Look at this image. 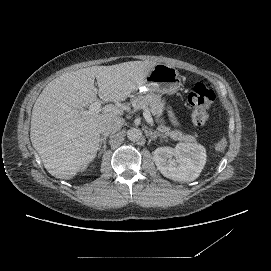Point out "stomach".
<instances>
[{
  "label": "stomach",
  "mask_w": 271,
  "mask_h": 271,
  "mask_svg": "<svg viewBox=\"0 0 271 271\" xmlns=\"http://www.w3.org/2000/svg\"><path fill=\"white\" fill-rule=\"evenodd\" d=\"M181 77L178 70L168 64L157 63L139 86L141 93L156 92L174 95L181 87Z\"/></svg>",
  "instance_id": "0dacf381"
}]
</instances>
